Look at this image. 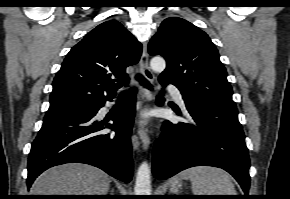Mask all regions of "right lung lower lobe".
<instances>
[{
    "label": "right lung lower lobe",
    "mask_w": 290,
    "mask_h": 199,
    "mask_svg": "<svg viewBox=\"0 0 290 199\" xmlns=\"http://www.w3.org/2000/svg\"><path fill=\"white\" fill-rule=\"evenodd\" d=\"M135 92L128 91L112 118L113 124L97 121L100 104L86 112L44 118L32 143L28 161L27 187L46 169L70 162L96 166L109 175L130 182L133 174L130 135L135 115ZM110 128L115 133H100Z\"/></svg>",
    "instance_id": "1"
}]
</instances>
